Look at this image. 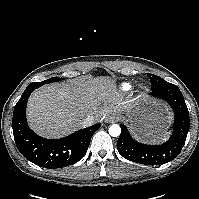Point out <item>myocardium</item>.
<instances>
[{
    "instance_id": "myocardium-1",
    "label": "myocardium",
    "mask_w": 199,
    "mask_h": 199,
    "mask_svg": "<svg viewBox=\"0 0 199 199\" xmlns=\"http://www.w3.org/2000/svg\"><path fill=\"white\" fill-rule=\"evenodd\" d=\"M139 89H140L141 91H143V90H144V86H143V85H140V86H139Z\"/></svg>"
}]
</instances>
